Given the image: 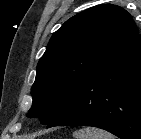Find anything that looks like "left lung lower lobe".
I'll return each mask as SVG.
<instances>
[{"mask_svg":"<svg viewBox=\"0 0 141 139\" xmlns=\"http://www.w3.org/2000/svg\"><path fill=\"white\" fill-rule=\"evenodd\" d=\"M81 125L141 139V35L92 72L47 128Z\"/></svg>","mask_w":141,"mask_h":139,"instance_id":"obj_1","label":"left lung lower lobe"}]
</instances>
